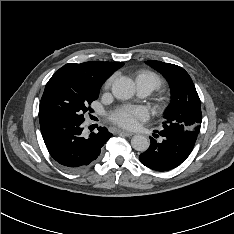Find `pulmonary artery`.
<instances>
[{
  "label": "pulmonary artery",
  "mask_w": 234,
  "mask_h": 234,
  "mask_svg": "<svg viewBox=\"0 0 234 234\" xmlns=\"http://www.w3.org/2000/svg\"><path fill=\"white\" fill-rule=\"evenodd\" d=\"M137 91L140 97H147L152 93L153 87L146 81H139L137 83Z\"/></svg>",
  "instance_id": "1"
}]
</instances>
